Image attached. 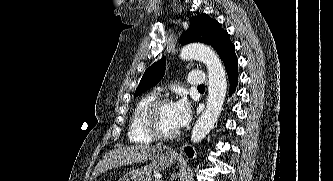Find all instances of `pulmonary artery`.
Wrapping results in <instances>:
<instances>
[{
  "label": "pulmonary artery",
  "mask_w": 333,
  "mask_h": 181,
  "mask_svg": "<svg viewBox=\"0 0 333 181\" xmlns=\"http://www.w3.org/2000/svg\"><path fill=\"white\" fill-rule=\"evenodd\" d=\"M205 82V75L201 71L191 72L188 76V84L191 86H199Z\"/></svg>",
  "instance_id": "e3ab8cb5"
}]
</instances>
